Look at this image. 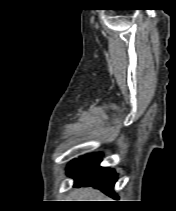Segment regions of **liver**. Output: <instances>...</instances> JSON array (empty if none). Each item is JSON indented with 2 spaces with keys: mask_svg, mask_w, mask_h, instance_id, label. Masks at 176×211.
Returning a JSON list of instances; mask_svg holds the SVG:
<instances>
[{
  "mask_svg": "<svg viewBox=\"0 0 176 211\" xmlns=\"http://www.w3.org/2000/svg\"><path fill=\"white\" fill-rule=\"evenodd\" d=\"M83 199H101L102 197L99 195V193L92 189V188H88L85 189L83 191V195H82ZM98 201H102V200H98Z\"/></svg>",
  "mask_w": 176,
  "mask_h": 211,
  "instance_id": "6515ba94",
  "label": "liver"
}]
</instances>
